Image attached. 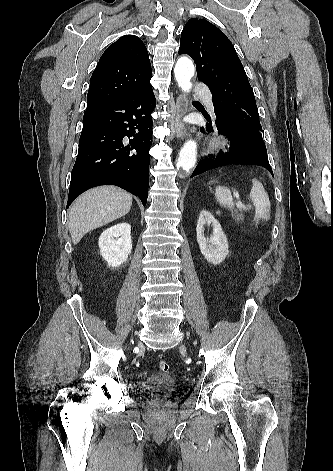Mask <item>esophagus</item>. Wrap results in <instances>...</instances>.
Returning <instances> with one entry per match:
<instances>
[{"label":"esophagus","mask_w":333,"mask_h":471,"mask_svg":"<svg viewBox=\"0 0 333 471\" xmlns=\"http://www.w3.org/2000/svg\"><path fill=\"white\" fill-rule=\"evenodd\" d=\"M187 113V103L183 95H178L176 99V114L172 121L173 131L178 139H183L185 136V124L183 118Z\"/></svg>","instance_id":"obj_1"}]
</instances>
